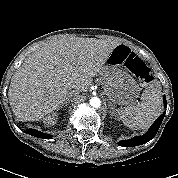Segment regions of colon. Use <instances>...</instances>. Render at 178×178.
Listing matches in <instances>:
<instances>
[{"label":"colon","mask_w":178,"mask_h":178,"mask_svg":"<svg viewBox=\"0 0 178 178\" xmlns=\"http://www.w3.org/2000/svg\"><path fill=\"white\" fill-rule=\"evenodd\" d=\"M130 70L138 77L143 84L152 82V75L146 64L139 58H135L130 65Z\"/></svg>","instance_id":"1"}]
</instances>
